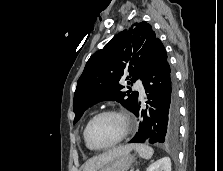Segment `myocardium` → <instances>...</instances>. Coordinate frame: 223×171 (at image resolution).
Returning <instances> with one entry per match:
<instances>
[{"instance_id": "obj_1", "label": "myocardium", "mask_w": 223, "mask_h": 171, "mask_svg": "<svg viewBox=\"0 0 223 171\" xmlns=\"http://www.w3.org/2000/svg\"><path fill=\"white\" fill-rule=\"evenodd\" d=\"M104 115H115V116H118L119 118H121V120L123 121V124H124V131H123L122 135L116 141H114L113 143H111L109 145L100 147V146L94 145L92 143V141L90 140L89 130H90V127L93 124V122L97 118L104 116ZM131 128H132V122H131V119L128 116V114H126L124 111H121L118 109H106V110H103V111L95 114L87 122L85 129H84V138H85L86 143L88 144V146L91 149L97 150V151L106 150V149L112 148V147L116 146L117 144H119L120 142H122L129 135Z\"/></svg>"}]
</instances>
